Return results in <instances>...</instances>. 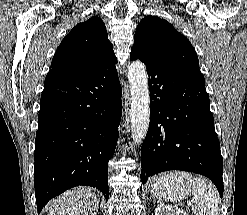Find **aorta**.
Returning a JSON list of instances; mask_svg holds the SVG:
<instances>
[{
  "label": "aorta",
  "instance_id": "aorta-1",
  "mask_svg": "<svg viewBox=\"0 0 247 215\" xmlns=\"http://www.w3.org/2000/svg\"><path fill=\"white\" fill-rule=\"evenodd\" d=\"M128 80L131 92V137L133 143L139 145L146 137L150 122L148 79L141 61H133L128 66Z\"/></svg>",
  "mask_w": 247,
  "mask_h": 215
}]
</instances>
